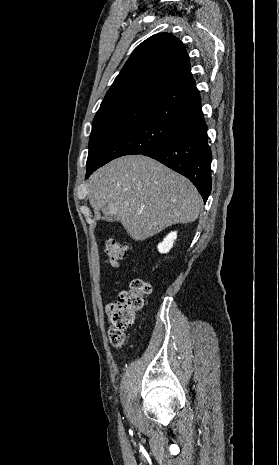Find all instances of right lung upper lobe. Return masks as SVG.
<instances>
[{"mask_svg":"<svg viewBox=\"0 0 279 465\" xmlns=\"http://www.w3.org/2000/svg\"><path fill=\"white\" fill-rule=\"evenodd\" d=\"M201 108L182 42L169 33L151 36L131 54L107 92L92 128L128 120L178 123Z\"/></svg>","mask_w":279,"mask_h":465,"instance_id":"1","label":"right lung upper lobe"}]
</instances>
